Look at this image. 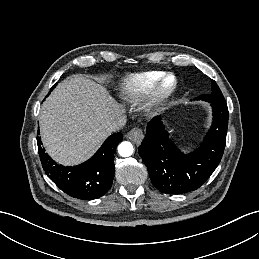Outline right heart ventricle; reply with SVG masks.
Wrapping results in <instances>:
<instances>
[{"label": "right heart ventricle", "mask_w": 259, "mask_h": 259, "mask_svg": "<svg viewBox=\"0 0 259 259\" xmlns=\"http://www.w3.org/2000/svg\"><path fill=\"white\" fill-rule=\"evenodd\" d=\"M161 75L162 72L159 71H143L128 75L122 86L124 97L130 101L137 100Z\"/></svg>", "instance_id": "e07e8e85"}]
</instances>
